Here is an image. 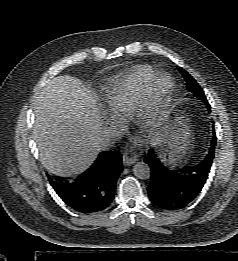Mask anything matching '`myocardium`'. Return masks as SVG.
Instances as JSON below:
<instances>
[{"instance_id": "myocardium-1", "label": "myocardium", "mask_w": 238, "mask_h": 261, "mask_svg": "<svg viewBox=\"0 0 238 261\" xmlns=\"http://www.w3.org/2000/svg\"><path fill=\"white\" fill-rule=\"evenodd\" d=\"M166 80L167 85L162 91L157 90L160 81ZM175 81L165 72L156 73L147 83L144 94L135 110V122L138 127L149 129L155 123L157 110L169 99L173 92Z\"/></svg>"}]
</instances>
